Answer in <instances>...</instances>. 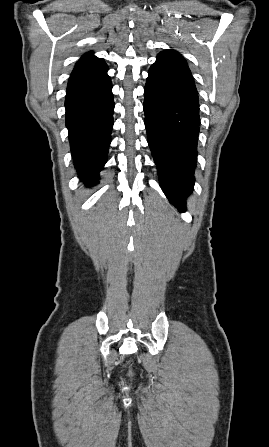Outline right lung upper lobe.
Returning <instances> with one entry per match:
<instances>
[{"label":"right lung upper lobe","instance_id":"right-lung-upper-lobe-1","mask_svg":"<svg viewBox=\"0 0 269 447\" xmlns=\"http://www.w3.org/2000/svg\"><path fill=\"white\" fill-rule=\"evenodd\" d=\"M103 60L100 58H96L95 56H93V52H88L85 53L80 60L76 63L75 68L81 67L83 65H87V64H93V63H97V62H102ZM74 68V69H75Z\"/></svg>","mask_w":269,"mask_h":447}]
</instances>
